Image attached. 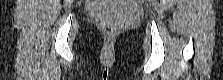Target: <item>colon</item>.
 Instances as JSON below:
<instances>
[{
	"label": "colon",
	"mask_w": 223,
	"mask_h": 80,
	"mask_svg": "<svg viewBox=\"0 0 223 80\" xmlns=\"http://www.w3.org/2000/svg\"><path fill=\"white\" fill-rule=\"evenodd\" d=\"M102 28L108 34H114L117 31L116 26L110 23H104Z\"/></svg>",
	"instance_id": "obj_1"
}]
</instances>
